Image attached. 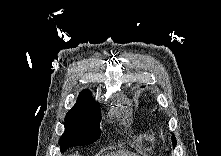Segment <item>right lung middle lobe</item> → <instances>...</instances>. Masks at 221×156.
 Segmentation results:
<instances>
[{"mask_svg": "<svg viewBox=\"0 0 221 156\" xmlns=\"http://www.w3.org/2000/svg\"><path fill=\"white\" fill-rule=\"evenodd\" d=\"M100 119L99 106L73 107L65 117V132L59 140L61 152L95 142L101 135Z\"/></svg>", "mask_w": 221, "mask_h": 156, "instance_id": "dd1d6c3e", "label": "right lung middle lobe"}]
</instances>
